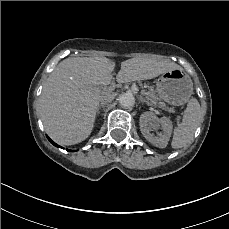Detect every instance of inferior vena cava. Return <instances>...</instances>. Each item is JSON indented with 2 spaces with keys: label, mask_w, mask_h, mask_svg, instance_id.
Segmentation results:
<instances>
[{
  "label": "inferior vena cava",
  "mask_w": 229,
  "mask_h": 229,
  "mask_svg": "<svg viewBox=\"0 0 229 229\" xmlns=\"http://www.w3.org/2000/svg\"><path fill=\"white\" fill-rule=\"evenodd\" d=\"M123 97V96H122ZM107 103V101H105V100H101V104L102 105H105Z\"/></svg>",
  "instance_id": "obj_1"
}]
</instances>
